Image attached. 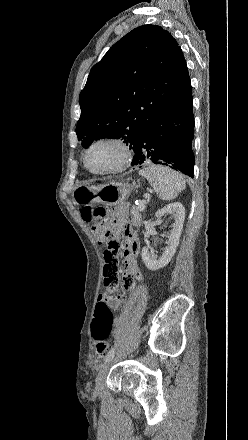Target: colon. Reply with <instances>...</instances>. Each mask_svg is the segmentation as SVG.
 Here are the masks:
<instances>
[{
	"label": "colon",
	"mask_w": 248,
	"mask_h": 440,
	"mask_svg": "<svg viewBox=\"0 0 248 440\" xmlns=\"http://www.w3.org/2000/svg\"><path fill=\"white\" fill-rule=\"evenodd\" d=\"M81 214L86 221L92 223L97 241L106 245L104 257H119L123 245L114 237L111 223L106 220V211L103 208L84 206ZM113 322L114 316L110 307L106 303L97 302L92 322V336L95 339L98 356L104 355L108 350L107 340L112 331Z\"/></svg>",
	"instance_id": "1"
}]
</instances>
